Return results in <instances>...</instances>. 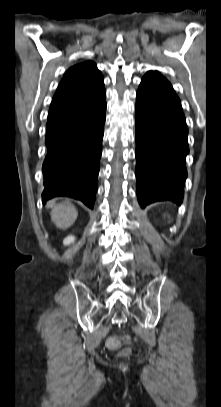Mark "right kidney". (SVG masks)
Instances as JSON below:
<instances>
[{
	"mask_svg": "<svg viewBox=\"0 0 221 407\" xmlns=\"http://www.w3.org/2000/svg\"><path fill=\"white\" fill-rule=\"evenodd\" d=\"M75 241V237L70 235L67 236L64 240H63V244L64 245H70L71 243H73Z\"/></svg>",
	"mask_w": 221,
	"mask_h": 407,
	"instance_id": "1",
	"label": "right kidney"
}]
</instances>
